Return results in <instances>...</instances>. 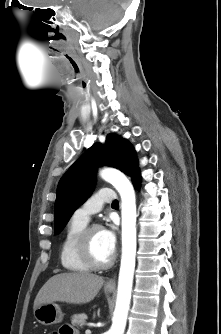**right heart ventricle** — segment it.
Returning <instances> with one entry per match:
<instances>
[{"instance_id": "obj_1", "label": "right heart ventricle", "mask_w": 221, "mask_h": 334, "mask_svg": "<svg viewBox=\"0 0 221 334\" xmlns=\"http://www.w3.org/2000/svg\"><path fill=\"white\" fill-rule=\"evenodd\" d=\"M86 226L87 222L73 216L65 229L60 247V261L63 268L69 272L86 273L91 269L81 259L77 249L79 236Z\"/></svg>"}]
</instances>
